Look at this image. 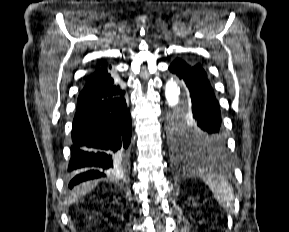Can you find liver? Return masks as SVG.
Segmentation results:
<instances>
[{"label":"liver","mask_w":289,"mask_h":232,"mask_svg":"<svg viewBox=\"0 0 289 232\" xmlns=\"http://www.w3.org/2000/svg\"><path fill=\"white\" fill-rule=\"evenodd\" d=\"M97 181H88L80 184L71 192V201L78 199L86 195L89 191H91L97 185Z\"/></svg>","instance_id":"6515ba94"}]
</instances>
